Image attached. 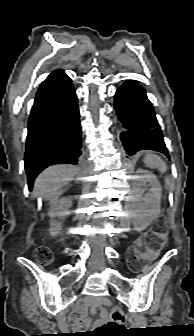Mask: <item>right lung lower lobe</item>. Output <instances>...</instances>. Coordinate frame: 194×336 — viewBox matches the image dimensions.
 Returning <instances> with one entry per match:
<instances>
[{"mask_svg": "<svg viewBox=\"0 0 194 336\" xmlns=\"http://www.w3.org/2000/svg\"><path fill=\"white\" fill-rule=\"evenodd\" d=\"M81 127L77 97L63 71L51 73L39 87L28 122L25 169L28 186L46 167L78 164Z\"/></svg>", "mask_w": 194, "mask_h": 336, "instance_id": "right-lung-lower-lobe-1", "label": "right lung lower lobe"}]
</instances>
